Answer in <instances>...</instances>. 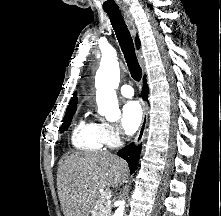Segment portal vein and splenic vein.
Wrapping results in <instances>:
<instances>
[{
  "label": "portal vein and splenic vein",
  "instance_id": "1",
  "mask_svg": "<svg viewBox=\"0 0 221 216\" xmlns=\"http://www.w3.org/2000/svg\"><path fill=\"white\" fill-rule=\"evenodd\" d=\"M103 197H105V199H106V198H110V197H111V192H105V193L103 194Z\"/></svg>",
  "mask_w": 221,
  "mask_h": 216
}]
</instances>
